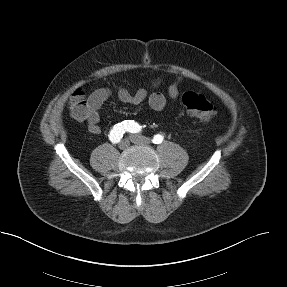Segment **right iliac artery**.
<instances>
[{"label": "right iliac artery", "mask_w": 287, "mask_h": 287, "mask_svg": "<svg viewBox=\"0 0 287 287\" xmlns=\"http://www.w3.org/2000/svg\"><path fill=\"white\" fill-rule=\"evenodd\" d=\"M128 123L129 121H123L121 123L114 125V127L111 129L108 135L111 142L118 143L122 139L124 133L128 131L127 129ZM140 128H141L140 126L137 128V132L141 130Z\"/></svg>", "instance_id": "82829eb1"}]
</instances>
